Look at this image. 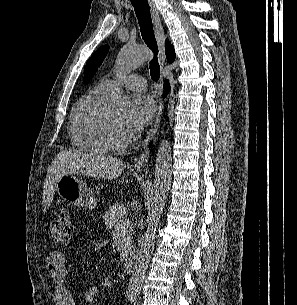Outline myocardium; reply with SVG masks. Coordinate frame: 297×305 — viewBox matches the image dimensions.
<instances>
[{
  "label": "myocardium",
  "mask_w": 297,
  "mask_h": 305,
  "mask_svg": "<svg viewBox=\"0 0 297 305\" xmlns=\"http://www.w3.org/2000/svg\"><path fill=\"white\" fill-rule=\"evenodd\" d=\"M103 138L109 149L121 151L125 149L131 142L129 137L119 138L116 135L111 119L108 115L105 116L102 128Z\"/></svg>",
  "instance_id": "f54148a6"
}]
</instances>
